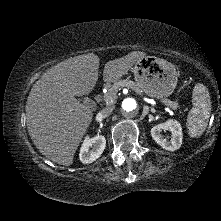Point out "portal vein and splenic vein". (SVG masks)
Wrapping results in <instances>:
<instances>
[{
	"label": "portal vein and splenic vein",
	"instance_id": "1",
	"mask_svg": "<svg viewBox=\"0 0 221 221\" xmlns=\"http://www.w3.org/2000/svg\"><path fill=\"white\" fill-rule=\"evenodd\" d=\"M131 89H132V88H131ZM133 90L136 91L135 89H133ZM136 92H137V91H136ZM160 102L169 107V105H168L165 101H160Z\"/></svg>",
	"mask_w": 221,
	"mask_h": 221
}]
</instances>
